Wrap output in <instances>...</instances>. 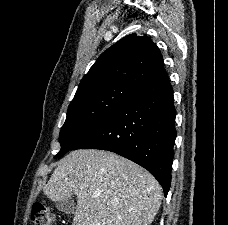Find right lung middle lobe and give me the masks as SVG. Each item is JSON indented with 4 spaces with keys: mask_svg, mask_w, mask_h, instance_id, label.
Here are the masks:
<instances>
[{
    "mask_svg": "<svg viewBox=\"0 0 228 225\" xmlns=\"http://www.w3.org/2000/svg\"><path fill=\"white\" fill-rule=\"evenodd\" d=\"M137 90L131 84L110 82L82 91L67 110L66 121L60 131V152L62 157L87 133L109 117Z\"/></svg>",
    "mask_w": 228,
    "mask_h": 225,
    "instance_id": "1",
    "label": "right lung middle lobe"
}]
</instances>
